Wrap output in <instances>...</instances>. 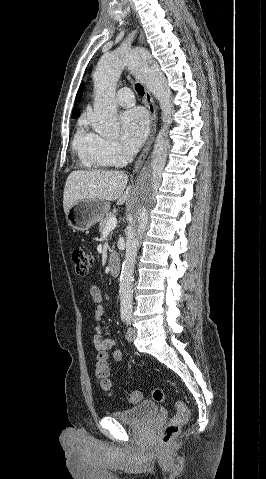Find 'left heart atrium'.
<instances>
[{"instance_id":"1","label":"left heart atrium","mask_w":266,"mask_h":479,"mask_svg":"<svg viewBox=\"0 0 266 479\" xmlns=\"http://www.w3.org/2000/svg\"><path fill=\"white\" fill-rule=\"evenodd\" d=\"M121 137L125 146L136 151L145 140L149 131V120L141 108H132L120 116Z\"/></svg>"}]
</instances>
